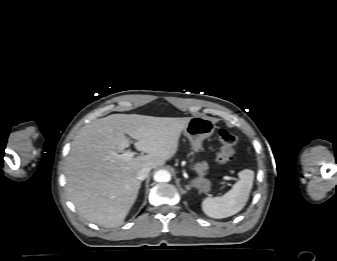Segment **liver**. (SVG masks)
I'll return each mask as SVG.
<instances>
[{"label":"liver","instance_id":"liver-1","mask_svg":"<svg viewBox=\"0 0 337 261\" xmlns=\"http://www.w3.org/2000/svg\"><path fill=\"white\" fill-rule=\"evenodd\" d=\"M190 120L112 114L84 126L75 136L65 163L66 191L80 215L104 227L122 225L140 189L137 172L171 159ZM125 134L147 155L116 160L115 155L129 146Z\"/></svg>","mask_w":337,"mask_h":261}]
</instances>
